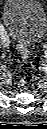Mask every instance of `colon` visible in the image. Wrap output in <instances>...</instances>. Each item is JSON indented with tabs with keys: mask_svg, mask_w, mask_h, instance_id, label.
Instances as JSON below:
<instances>
[{
	"mask_svg": "<svg viewBox=\"0 0 47 129\" xmlns=\"http://www.w3.org/2000/svg\"><path fill=\"white\" fill-rule=\"evenodd\" d=\"M19 52L21 54V57L23 58V60H27L28 59V52L26 49L22 48L21 46H19ZM25 83V80L24 79H21L19 81V85L20 86H23Z\"/></svg>",
	"mask_w": 47,
	"mask_h": 129,
	"instance_id": "5ec220e1",
	"label": "colon"
}]
</instances>
